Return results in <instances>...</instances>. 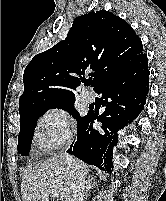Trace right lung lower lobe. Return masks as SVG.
<instances>
[{
    "instance_id": "98d812e1",
    "label": "right lung lower lobe",
    "mask_w": 166,
    "mask_h": 201,
    "mask_svg": "<svg viewBox=\"0 0 166 201\" xmlns=\"http://www.w3.org/2000/svg\"><path fill=\"white\" fill-rule=\"evenodd\" d=\"M149 70L146 54L135 65L107 78L95 90L102 94L105 111L89 112L78 126L77 140L68 153L111 173L112 147L117 142V131L134 120L144 109L149 89ZM97 120L102 125L94 129L89 123ZM73 146V150H72Z\"/></svg>"
}]
</instances>
